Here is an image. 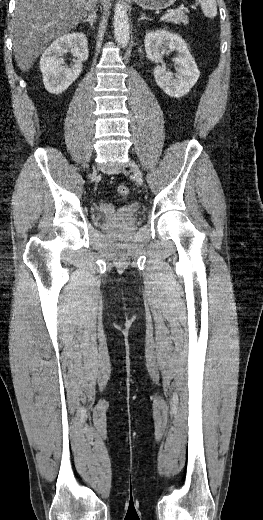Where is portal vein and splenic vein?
I'll return each instance as SVG.
<instances>
[{"instance_id": "18ae733b", "label": "portal vein and splenic vein", "mask_w": 263, "mask_h": 520, "mask_svg": "<svg viewBox=\"0 0 263 520\" xmlns=\"http://www.w3.org/2000/svg\"><path fill=\"white\" fill-rule=\"evenodd\" d=\"M169 15H170V13L167 12V13H165V14L161 17V19L164 20V19L167 18Z\"/></svg>"}]
</instances>
